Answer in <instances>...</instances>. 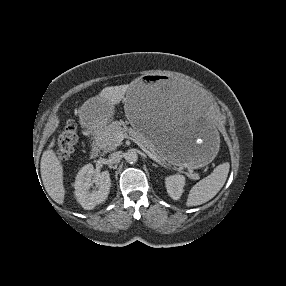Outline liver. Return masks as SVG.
Here are the masks:
<instances>
[{
    "label": "liver",
    "mask_w": 286,
    "mask_h": 286,
    "mask_svg": "<svg viewBox=\"0 0 286 286\" xmlns=\"http://www.w3.org/2000/svg\"><path fill=\"white\" fill-rule=\"evenodd\" d=\"M130 85H120L104 88L99 98L111 106L118 105L128 92ZM55 146L53 138L47 150L41 157L40 171L44 188L48 195L58 204L64 203L65 188L63 185V166L56 152L52 149Z\"/></svg>",
    "instance_id": "6515ba94"
}]
</instances>
